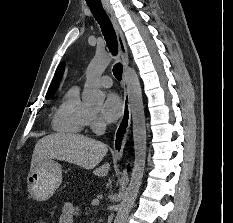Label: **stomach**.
<instances>
[{
    "label": "stomach",
    "instance_id": "obj_1",
    "mask_svg": "<svg viewBox=\"0 0 233 223\" xmlns=\"http://www.w3.org/2000/svg\"><path fill=\"white\" fill-rule=\"evenodd\" d=\"M62 165L51 159L43 157L33 163L27 177V187L30 197L37 201L50 199L62 183Z\"/></svg>",
    "mask_w": 233,
    "mask_h": 223
}]
</instances>
